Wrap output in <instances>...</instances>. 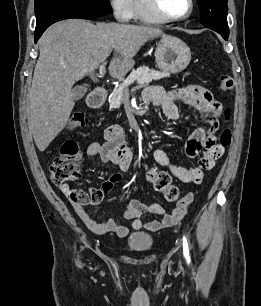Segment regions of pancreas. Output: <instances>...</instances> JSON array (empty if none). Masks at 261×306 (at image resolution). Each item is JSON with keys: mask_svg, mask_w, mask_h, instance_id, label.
I'll list each match as a JSON object with an SVG mask.
<instances>
[{"mask_svg": "<svg viewBox=\"0 0 261 306\" xmlns=\"http://www.w3.org/2000/svg\"><path fill=\"white\" fill-rule=\"evenodd\" d=\"M168 72H160L149 69L146 66L139 67L131 72V74L121 83L112 93L109 101L110 108H119L121 103L129 97V85L137 81L140 86L148 85L153 80H160L169 77Z\"/></svg>", "mask_w": 261, "mask_h": 306, "instance_id": "1", "label": "pancreas"}]
</instances>
